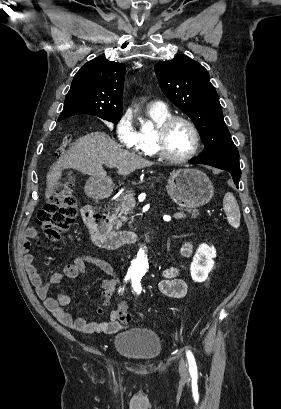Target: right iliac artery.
<instances>
[{
    "mask_svg": "<svg viewBox=\"0 0 281 409\" xmlns=\"http://www.w3.org/2000/svg\"><path fill=\"white\" fill-rule=\"evenodd\" d=\"M130 278V276H126L125 277V281H127ZM121 291V289L119 290V292Z\"/></svg>",
    "mask_w": 281,
    "mask_h": 409,
    "instance_id": "1",
    "label": "right iliac artery"
}]
</instances>
